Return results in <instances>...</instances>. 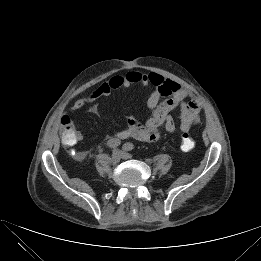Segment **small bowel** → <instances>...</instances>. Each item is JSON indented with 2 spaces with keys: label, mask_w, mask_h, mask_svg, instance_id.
I'll return each instance as SVG.
<instances>
[{
  "label": "small bowel",
  "mask_w": 261,
  "mask_h": 261,
  "mask_svg": "<svg viewBox=\"0 0 261 261\" xmlns=\"http://www.w3.org/2000/svg\"><path fill=\"white\" fill-rule=\"evenodd\" d=\"M134 85H152L154 87L147 100L148 108L153 111L152 116L144 123L129 118L127 128L117 132L115 139L134 138L142 142H155L160 138V127L163 126L169 133L176 130L177 123L171 115V112L175 109L179 110V128L182 132H189L191 127L199 121L201 104L190 91L158 73H142L137 70L112 76L85 97L76 99L72 111L79 110L87 103L108 96L115 90L130 88ZM81 139L82 134L76 131L74 142L67 145H74Z\"/></svg>",
  "instance_id": "c3829d8e"
}]
</instances>
